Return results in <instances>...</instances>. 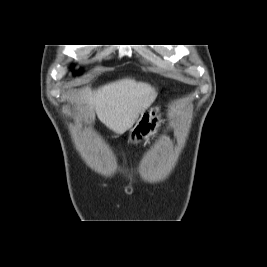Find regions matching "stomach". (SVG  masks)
<instances>
[{"label": "stomach", "instance_id": "0dacf381", "mask_svg": "<svg viewBox=\"0 0 267 267\" xmlns=\"http://www.w3.org/2000/svg\"><path fill=\"white\" fill-rule=\"evenodd\" d=\"M161 123L162 119L159 107L147 109L132 124L128 142L134 144L140 142L142 139L148 141L150 137L157 134Z\"/></svg>", "mask_w": 267, "mask_h": 267}]
</instances>
